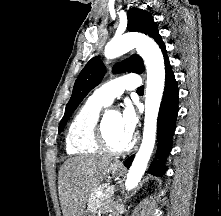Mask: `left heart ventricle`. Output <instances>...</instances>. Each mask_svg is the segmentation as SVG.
I'll return each mask as SVG.
<instances>
[{
	"mask_svg": "<svg viewBox=\"0 0 221 216\" xmlns=\"http://www.w3.org/2000/svg\"><path fill=\"white\" fill-rule=\"evenodd\" d=\"M105 131L109 143L114 147L125 146L131 140V137L127 136L122 128L119 113L115 111L108 112Z\"/></svg>",
	"mask_w": 221,
	"mask_h": 216,
	"instance_id": "1",
	"label": "left heart ventricle"
}]
</instances>
